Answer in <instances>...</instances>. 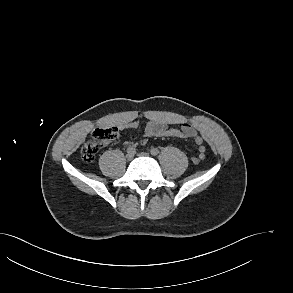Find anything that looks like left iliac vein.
Wrapping results in <instances>:
<instances>
[{"instance_id":"1","label":"left iliac vein","mask_w":293,"mask_h":293,"mask_svg":"<svg viewBox=\"0 0 293 293\" xmlns=\"http://www.w3.org/2000/svg\"><path fill=\"white\" fill-rule=\"evenodd\" d=\"M140 156H148V153L142 152V153H140Z\"/></svg>"}]
</instances>
